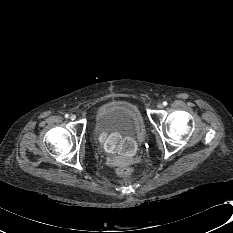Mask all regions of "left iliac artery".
<instances>
[{
    "mask_svg": "<svg viewBox=\"0 0 233 233\" xmlns=\"http://www.w3.org/2000/svg\"><path fill=\"white\" fill-rule=\"evenodd\" d=\"M167 104H168V103H167L166 101L163 102V105H164V106H167Z\"/></svg>",
    "mask_w": 233,
    "mask_h": 233,
    "instance_id": "44dca946",
    "label": "left iliac artery"
}]
</instances>
